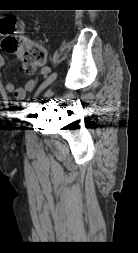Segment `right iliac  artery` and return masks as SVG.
Wrapping results in <instances>:
<instances>
[{"label":"right iliac artery","instance_id":"1","mask_svg":"<svg viewBox=\"0 0 138 253\" xmlns=\"http://www.w3.org/2000/svg\"><path fill=\"white\" fill-rule=\"evenodd\" d=\"M51 71H52L51 67H42L40 77H43V75H50Z\"/></svg>","mask_w":138,"mask_h":253}]
</instances>
